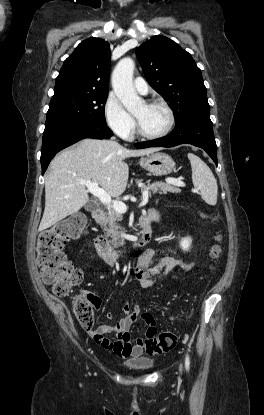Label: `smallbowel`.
<instances>
[{"label": "small bowel", "instance_id": "obj_1", "mask_svg": "<svg viewBox=\"0 0 264 415\" xmlns=\"http://www.w3.org/2000/svg\"><path fill=\"white\" fill-rule=\"evenodd\" d=\"M143 216L147 217L150 222L161 221L160 212L154 208H149ZM188 261L192 263L194 258L189 257ZM176 264L177 261L175 258L169 256H158L150 250L143 254L138 264L135 266L134 271L140 286L143 288H149L157 285L161 280L170 275L174 271ZM99 306L100 302L98 301L97 308H99ZM121 307L126 313L123 318L116 321L114 325H98L95 330L90 332V335H92L95 339L96 345L114 351L123 357L138 359L143 354L145 344L140 340H137L135 343H131L129 338V330L132 323L140 314H142L144 309L141 304H135L131 307L127 302H122ZM106 317L111 319L112 314L108 313ZM145 320L148 325L147 329L157 332L154 319L150 315L146 314ZM111 332L116 333V338L113 340L105 337L106 334Z\"/></svg>", "mask_w": 264, "mask_h": 415}]
</instances>
